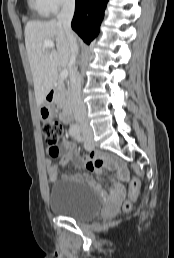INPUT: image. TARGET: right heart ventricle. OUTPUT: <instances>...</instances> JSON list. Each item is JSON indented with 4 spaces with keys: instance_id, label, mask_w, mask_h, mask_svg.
Segmentation results:
<instances>
[{
    "instance_id": "e07e8e85",
    "label": "right heart ventricle",
    "mask_w": 174,
    "mask_h": 258,
    "mask_svg": "<svg viewBox=\"0 0 174 258\" xmlns=\"http://www.w3.org/2000/svg\"><path fill=\"white\" fill-rule=\"evenodd\" d=\"M28 5L32 11L40 16H46L49 13L43 0H28Z\"/></svg>"
}]
</instances>
